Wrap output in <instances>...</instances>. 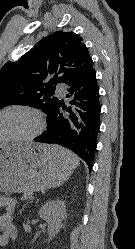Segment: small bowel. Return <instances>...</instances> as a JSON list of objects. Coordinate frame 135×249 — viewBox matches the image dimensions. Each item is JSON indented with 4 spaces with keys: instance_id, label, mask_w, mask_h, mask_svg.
Here are the masks:
<instances>
[{
    "instance_id": "obj_1",
    "label": "small bowel",
    "mask_w": 135,
    "mask_h": 249,
    "mask_svg": "<svg viewBox=\"0 0 135 249\" xmlns=\"http://www.w3.org/2000/svg\"><path fill=\"white\" fill-rule=\"evenodd\" d=\"M16 201L9 196H0V208L4 213L0 214V246H6L17 237V229L14 225V209Z\"/></svg>"
}]
</instances>
